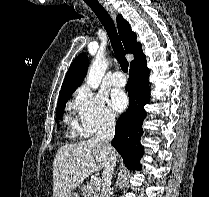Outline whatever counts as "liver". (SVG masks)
Listing matches in <instances>:
<instances>
[{
    "label": "liver",
    "instance_id": "liver-1",
    "mask_svg": "<svg viewBox=\"0 0 209 197\" xmlns=\"http://www.w3.org/2000/svg\"><path fill=\"white\" fill-rule=\"evenodd\" d=\"M106 161L107 150L96 137L61 146L53 161V197L71 193L86 177L104 169Z\"/></svg>",
    "mask_w": 209,
    "mask_h": 197
}]
</instances>
